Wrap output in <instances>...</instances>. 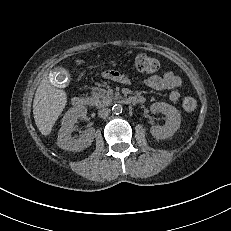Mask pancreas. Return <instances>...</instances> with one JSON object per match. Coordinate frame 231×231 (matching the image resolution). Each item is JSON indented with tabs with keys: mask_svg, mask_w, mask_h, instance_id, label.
<instances>
[{
	"mask_svg": "<svg viewBox=\"0 0 231 231\" xmlns=\"http://www.w3.org/2000/svg\"><path fill=\"white\" fill-rule=\"evenodd\" d=\"M113 99L112 96L107 95L102 90H98V92H93L92 96L89 97V103L93 106L103 107L109 105Z\"/></svg>",
	"mask_w": 231,
	"mask_h": 231,
	"instance_id": "1",
	"label": "pancreas"
}]
</instances>
